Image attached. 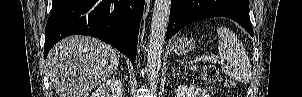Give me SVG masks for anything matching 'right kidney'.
Returning a JSON list of instances; mask_svg holds the SVG:
<instances>
[{"label": "right kidney", "mask_w": 302, "mask_h": 97, "mask_svg": "<svg viewBox=\"0 0 302 97\" xmlns=\"http://www.w3.org/2000/svg\"><path fill=\"white\" fill-rule=\"evenodd\" d=\"M109 92H112L114 97H122L123 86L122 82L119 79H109L103 83L91 97H106Z\"/></svg>", "instance_id": "1"}]
</instances>
